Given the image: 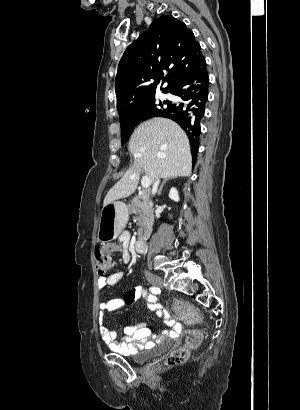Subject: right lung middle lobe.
Instances as JSON below:
<instances>
[{"mask_svg":"<svg viewBox=\"0 0 300 410\" xmlns=\"http://www.w3.org/2000/svg\"><path fill=\"white\" fill-rule=\"evenodd\" d=\"M169 91H164L167 93ZM155 95L150 97L146 102L143 110L134 118L127 119L125 121H121V139L122 142H126L129 139L130 134L132 133L133 129L143 120L148 118L154 117L158 112L161 110L158 109L154 103ZM162 107V104L160 103Z\"/></svg>","mask_w":300,"mask_h":410,"instance_id":"1","label":"right lung middle lobe"}]
</instances>
